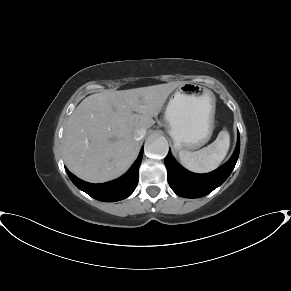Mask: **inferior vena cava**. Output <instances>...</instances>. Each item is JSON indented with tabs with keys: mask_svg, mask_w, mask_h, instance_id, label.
Returning a JSON list of instances; mask_svg holds the SVG:
<instances>
[{
	"mask_svg": "<svg viewBox=\"0 0 291 291\" xmlns=\"http://www.w3.org/2000/svg\"><path fill=\"white\" fill-rule=\"evenodd\" d=\"M145 134H146V130L145 129H137L134 132V139L139 141L145 136Z\"/></svg>",
	"mask_w": 291,
	"mask_h": 291,
	"instance_id": "1",
	"label": "inferior vena cava"
}]
</instances>
